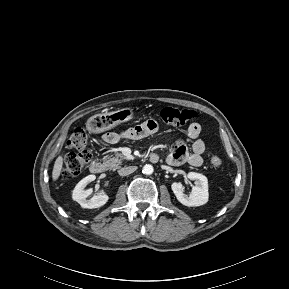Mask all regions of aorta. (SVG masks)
Instances as JSON below:
<instances>
[{
    "instance_id": "1",
    "label": "aorta",
    "mask_w": 289,
    "mask_h": 289,
    "mask_svg": "<svg viewBox=\"0 0 289 289\" xmlns=\"http://www.w3.org/2000/svg\"><path fill=\"white\" fill-rule=\"evenodd\" d=\"M153 166L150 165V164H146L144 167H143V170L142 172L146 175H151L153 173Z\"/></svg>"
}]
</instances>
